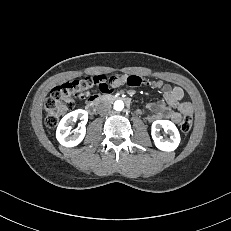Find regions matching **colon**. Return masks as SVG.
I'll list each match as a JSON object with an SVG mask.
<instances>
[{
	"label": "colon",
	"mask_w": 231,
	"mask_h": 231,
	"mask_svg": "<svg viewBox=\"0 0 231 231\" xmlns=\"http://www.w3.org/2000/svg\"><path fill=\"white\" fill-rule=\"evenodd\" d=\"M109 79L104 75H98L67 82L54 88L45 104L47 126L55 127L61 118L74 108L77 100L86 99L97 92L101 93V86ZM192 123V116L185 115L180 124L181 130L188 132Z\"/></svg>",
	"instance_id": "colon-1"
}]
</instances>
